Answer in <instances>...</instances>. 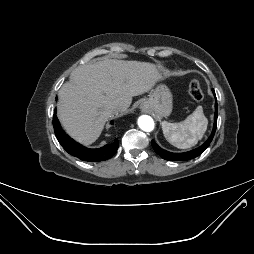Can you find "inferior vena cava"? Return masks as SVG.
I'll use <instances>...</instances> for the list:
<instances>
[{
	"label": "inferior vena cava",
	"mask_w": 254,
	"mask_h": 254,
	"mask_svg": "<svg viewBox=\"0 0 254 254\" xmlns=\"http://www.w3.org/2000/svg\"><path fill=\"white\" fill-rule=\"evenodd\" d=\"M123 109H124V106H122V105H117V106L113 107L114 112H120Z\"/></svg>",
	"instance_id": "obj_1"
}]
</instances>
